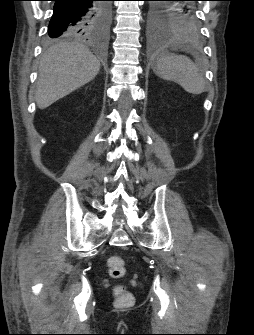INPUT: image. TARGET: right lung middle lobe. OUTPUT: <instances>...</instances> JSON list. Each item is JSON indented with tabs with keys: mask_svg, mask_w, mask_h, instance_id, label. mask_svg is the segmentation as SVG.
<instances>
[{
	"mask_svg": "<svg viewBox=\"0 0 254 335\" xmlns=\"http://www.w3.org/2000/svg\"><path fill=\"white\" fill-rule=\"evenodd\" d=\"M110 20V3L109 2H102L100 4L99 9V16L96 19V21L91 25L90 27V34H99L104 33L107 30V26ZM72 35H84L80 32L76 33H70L65 36H72ZM54 38H50L48 40H51Z\"/></svg>",
	"mask_w": 254,
	"mask_h": 335,
	"instance_id": "1",
	"label": "right lung middle lobe"
}]
</instances>
